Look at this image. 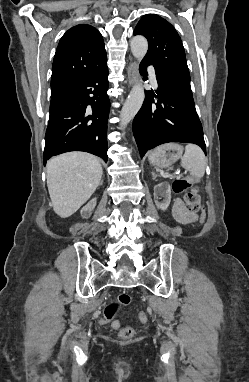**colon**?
Here are the masks:
<instances>
[{"label":"colon","instance_id":"colon-1","mask_svg":"<svg viewBox=\"0 0 249 382\" xmlns=\"http://www.w3.org/2000/svg\"><path fill=\"white\" fill-rule=\"evenodd\" d=\"M190 185H191V182L188 179L176 180L173 182V191L176 193L186 192L185 202H186L187 208L193 213L203 215L204 207L201 204L199 192L196 188H193L187 191ZM130 302H131L130 294L125 292L119 294L116 302L106 306L104 310V320L106 322H112V326L114 328H118L120 324L118 321L115 320V317L118 313V309L121 306H126L130 304ZM147 320L148 318L145 312H140L138 314L139 322L146 323ZM133 335H134V329L130 326L123 327L119 330V336L124 340H128L132 338Z\"/></svg>","mask_w":249,"mask_h":382}]
</instances>
